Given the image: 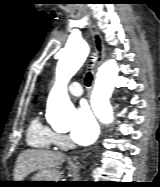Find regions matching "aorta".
Wrapping results in <instances>:
<instances>
[{"label": "aorta", "mask_w": 160, "mask_h": 187, "mask_svg": "<svg viewBox=\"0 0 160 187\" xmlns=\"http://www.w3.org/2000/svg\"><path fill=\"white\" fill-rule=\"evenodd\" d=\"M89 48L84 40L69 41L62 51L56 68V83L47 103L49 122L61 120L73 110L67 92V84L85 62ZM118 65L115 60L106 61L98 70L91 96V106L97 118L104 124L113 121V112L109 99L118 77Z\"/></svg>", "instance_id": "aorta-1"}]
</instances>
